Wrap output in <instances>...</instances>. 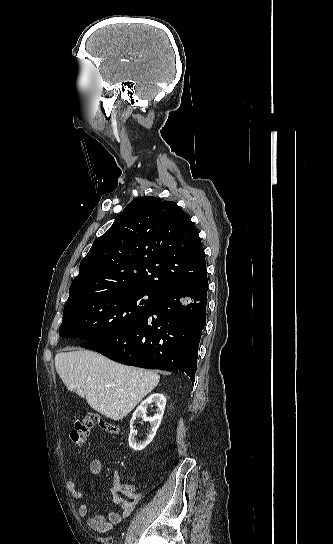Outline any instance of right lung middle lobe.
<instances>
[{
    "instance_id": "obj_1",
    "label": "right lung middle lobe",
    "mask_w": 333,
    "mask_h": 544,
    "mask_svg": "<svg viewBox=\"0 0 333 544\" xmlns=\"http://www.w3.org/2000/svg\"><path fill=\"white\" fill-rule=\"evenodd\" d=\"M157 298L147 291H108L70 301L64 306L59 335L83 339L85 345L121 332L146 314Z\"/></svg>"
}]
</instances>
